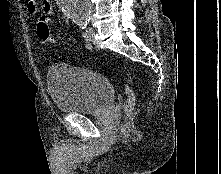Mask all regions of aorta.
I'll return each mask as SVG.
<instances>
[{
	"label": "aorta",
	"mask_w": 221,
	"mask_h": 174,
	"mask_svg": "<svg viewBox=\"0 0 221 174\" xmlns=\"http://www.w3.org/2000/svg\"><path fill=\"white\" fill-rule=\"evenodd\" d=\"M62 12L75 21H87L90 17V0H59Z\"/></svg>",
	"instance_id": "1"
}]
</instances>
